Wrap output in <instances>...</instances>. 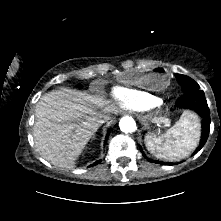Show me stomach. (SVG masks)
<instances>
[{"instance_id": "0dacf381", "label": "stomach", "mask_w": 221, "mask_h": 221, "mask_svg": "<svg viewBox=\"0 0 221 221\" xmlns=\"http://www.w3.org/2000/svg\"><path fill=\"white\" fill-rule=\"evenodd\" d=\"M121 81L127 87L135 85L152 91H164L169 86L168 69L163 64H155L151 69H130L123 74Z\"/></svg>"}]
</instances>
